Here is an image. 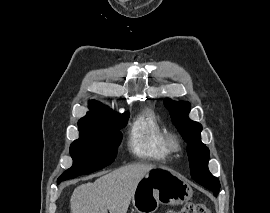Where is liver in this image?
<instances>
[{"label":"liver","mask_w":270,"mask_h":213,"mask_svg":"<svg viewBox=\"0 0 270 213\" xmlns=\"http://www.w3.org/2000/svg\"><path fill=\"white\" fill-rule=\"evenodd\" d=\"M154 168L131 164L77 186L70 198L71 213H126L138 182Z\"/></svg>","instance_id":"liver-1"}]
</instances>
